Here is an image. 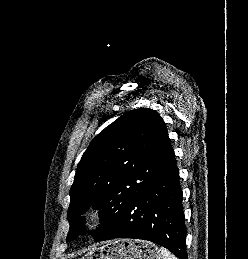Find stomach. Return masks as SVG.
Wrapping results in <instances>:
<instances>
[{
    "label": "stomach",
    "instance_id": "stomach-1",
    "mask_svg": "<svg viewBox=\"0 0 248 259\" xmlns=\"http://www.w3.org/2000/svg\"><path fill=\"white\" fill-rule=\"evenodd\" d=\"M80 259H162V255L151 242L123 239L94 248Z\"/></svg>",
    "mask_w": 248,
    "mask_h": 259
}]
</instances>
